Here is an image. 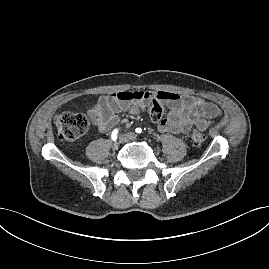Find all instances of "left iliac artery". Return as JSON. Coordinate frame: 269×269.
I'll return each instance as SVG.
<instances>
[{
  "label": "left iliac artery",
  "mask_w": 269,
  "mask_h": 269,
  "mask_svg": "<svg viewBox=\"0 0 269 269\" xmlns=\"http://www.w3.org/2000/svg\"><path fill=\"white\" fill-rule=\"evenodd\" d=\"M135 132H136L137 134H140V133H142V129H141V128H136V129H135Z\"/></svg>",
  "instance_id": "obj_1"
}]
</instances>
